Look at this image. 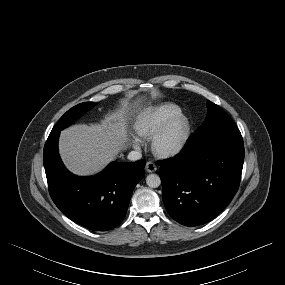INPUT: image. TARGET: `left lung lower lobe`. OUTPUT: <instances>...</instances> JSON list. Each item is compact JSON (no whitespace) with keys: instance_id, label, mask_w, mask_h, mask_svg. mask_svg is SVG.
I'll use <instances>...</instances> for the list:
<instances>
[{"instance_id":"1","label":"left lung lower lobe","mask_w":285,"mask_h":285,"mask_svg":"<svg viewBox=\"0 0 285 285\" xmlns=\"http://www.w3.org/2000/svg\"><path fill=\"white\" fill-rule=\"evenodd\" d=\"M244 162L242 138L187 143L160 165L162 198L169 215L185 226L214 219L236 194Z\"/></svg>"}]
</instances>
